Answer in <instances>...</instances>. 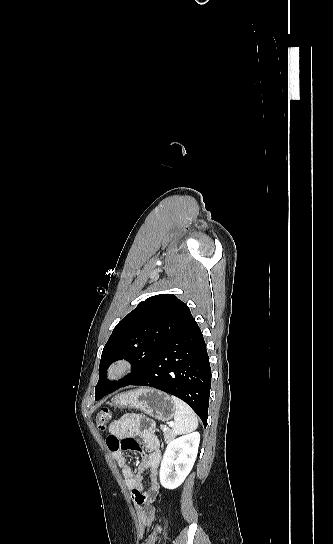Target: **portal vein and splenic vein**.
<instances>
[{"label":"portal vein and splenic vein","mask_w":333,"mask_h":544,"mask_svg":"<svg viewBox=\"0 0 333 544\" xmlns=\"http://www.w3.org/2000/svg\"><path fill=\"white\" fill-rule=\"evenodd\" d=\"M169 426H170V427L173 426V422H170V423H169ZM166 430H167V428H164V431H166Z\"/></svg>","instance_id":"18ae733b"}]
</instances>
